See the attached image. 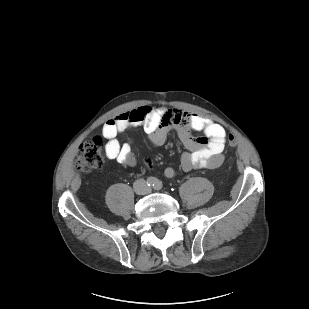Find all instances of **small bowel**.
Instances as JSON below:
<instances>
[{"mask_svg":"<svg viewBox=\"0 0 309 309\" xmlns=\"http://www.w3.org/2000/svg\"><path fill=\"white\" fill-rule=\"evenodd\" d=\"M142 127L152 146L162 145L170 132L176 131L186 152L181 155L180 166L184 172L198 169H216L224 161L226 133L223 127L194 114L179 109H169L151 105H142L109 119L102 129L107 139L105 154L109 159L133 167L137 159L131 143H120L116 136L129 128ZM192 132H202L203 136L193 137ZM164 174L168 178L175 175L172 167H167Z\"/></svg>","mask_w":309,"mask_h":309,"instance_id":"obj_1","label":"small bowel"}]
</instances>
